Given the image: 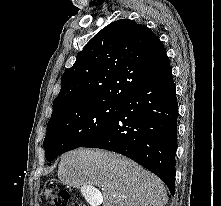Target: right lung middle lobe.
Listing matches in <instances>:
<instances>
[{
	"label": "right lung middle lobe",
	"mask_w": 221,
	"mask_h": 206,
	"mask_svg": "<svg viewBox=\"0 0 221 206\" xmlns=\"http://www.w3.org/2000/svg\"><path fill=\"white\" fill-rule=\"evenodd\" d=\"M119 107L92 103L53 114L43 143L46 160L50 162L64 152L81 147L116 117Z\"/></svg>",
	"instance_id": "right-lung-middle-lobe-1"
}]
</instances>
